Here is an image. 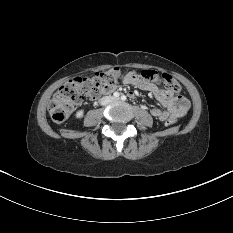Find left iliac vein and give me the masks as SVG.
I'll use <instances>...</instances> for the list:
<instances>
[{
	"label": "left iliac vein",
	"instance_id": "4c4485c4",
	"mask_svg": "<svg viewBox=\"0 0 233 233\" xmlns=\"http://www.w3.org/2000/svg\"><path fill=\"white\" fill-rule=\"evenodd\" d=\"M114 100H115V101H118V100H119V98H115Z\"/></svg>",
	"mask_w": 233,
	"mask_h": 233
}]
</instances>
